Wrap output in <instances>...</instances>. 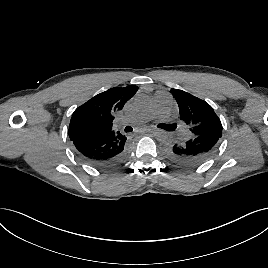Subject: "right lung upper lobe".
<instances>
[{"label": "right lung upper lobe", "instance_id": "1", "mask_svg": "<svg viewBox=\"0 0 268 268\" xmlns=\"http://www.w3.org/2000/svg\"><path fill=\"white\" fill-rule=\"evenodd\" d=\"M135 85L114 87L102 92L78 107L72 114L69 125L71 140L110 134L113 115L137 92Z\"/></svg>", "mask_w": 268, "mask_h": 268}]
</instances>
